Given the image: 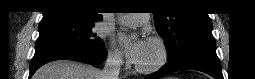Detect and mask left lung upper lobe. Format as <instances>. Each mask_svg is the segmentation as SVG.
I'll return each mask as SVG.
<instances>
[{
  "label": "left lung upper lobe",
  "mask_w": 255,
  "mask_h": 79,
  "mask_svg": "<svg viewBox=\"0 0 255 79\" xmlns=\"http://www.w3.org/2000/svg\"><path fill=\"white\" fill-rule=\"evenodd\" d=\"M156 2L164 5L170 1ZM153 16L156 30L167 47L168 61L179 58L194 46L215 44L212 22L206 13L159 7L153 12Z\"/></svg>",
  "instance_id": "1"
}]
</instances>
